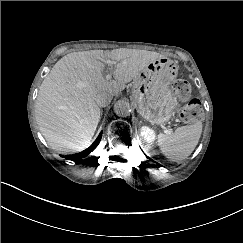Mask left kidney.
Listing matches in <instances>:
<instances>
[{
    "instance_id": "1",
    "label": "left kidney",
    "mask_w": 243,
    "mask_h": 243,
    "mask_svg": "<svg viewBox=\"0 0 243 243\" xmlns=\"http://www.w3.org/2000/svg\"><path fill=\"white\" fill-rule=\"evenodd\" d=\"M140 135L143 136L147 142H151L154 139V133L148 127H142L140 130Z\"/></svg>"
}]
</instances>
